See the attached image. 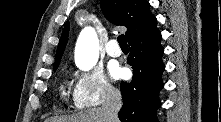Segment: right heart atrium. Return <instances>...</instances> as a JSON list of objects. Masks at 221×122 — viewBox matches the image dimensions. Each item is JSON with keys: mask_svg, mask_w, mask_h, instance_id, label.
<instances>
[{"mask_svg": "<svg viewBox=\"0 0 221 122\" xmlns=\"http://www.w3.org/2000/svg\"><path fill=\"white\" fill-rule=\"evenodd\" d=\"M118 91L113 87L100 68L76 74V82L72 93L73 103L76 108L83 109L94 107L115 100Z\"/></svg>", "mask_w": 221, "mask_h": 122, "instance_id": "1", "label": "right heart atrium"}]
</instances>
